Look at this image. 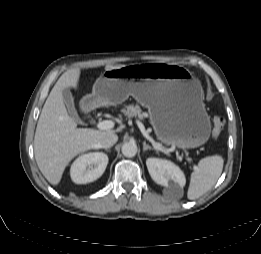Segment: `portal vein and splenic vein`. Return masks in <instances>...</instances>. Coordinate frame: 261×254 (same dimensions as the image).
<instances>
[{"instance_id": "1", "label": "portal vein and splenic vein", "mask_w": 261, "mask_h": 254, "mask_svg": "<svg viewBox=\"0 0 261 254\" xmlns=\"http://www.w3.org/2000/svg\"><path fill=\"white\" fill-rule=\"evenodd\" d=\"M139 128L141 129V131L143 132L144 136L149 140L151 141L153 144H155V142L148 136L147 133H145L144 131V126L142 125V123H140L139 121L137 122ZM114 127V122L111 121V120H103V121H100L98 122L97 124V128L100 129V130H110ZM187 161L191 162V159L190 158H186ZM194 168H196V166L194 165Z\"/></svg>"}]
</instances>
